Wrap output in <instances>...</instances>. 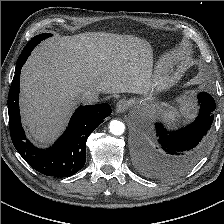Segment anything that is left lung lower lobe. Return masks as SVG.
<instances>
[{"label":"left lung lower lobe","mask_w":224,"mask_h":224,"mask_svg":"<svg viewBox=\"0 0 224 224\" xmlns=\"http://www.w3.org/2000/svg\"><path fill=\"white\" fill-rule=\"evenodd\" d=\"M200 111L196 120L178 131L169 132L162 124H156L158 141L163 153L140 148L138 165L143 171L166 175L182 171L194 164L201 156L204 138L214 120L216 108L213 97L201 92L198 94ZM158 149V148H157Z\"/></svg>","instance_id":"1"}]
</instances>
